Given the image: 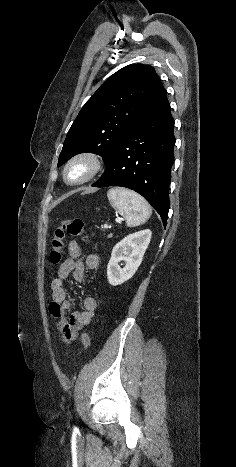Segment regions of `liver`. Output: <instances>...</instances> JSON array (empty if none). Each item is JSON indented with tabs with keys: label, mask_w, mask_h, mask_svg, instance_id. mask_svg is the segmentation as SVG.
Here are the masks:
<instances>
[{
	"label": "liver",
	"mask_w": 236,
	"mask_h": 467,
	"mask_svg": "<svg viewBox=\"0 0 236 467\" xmlns=\"http://www.w3.org/2000/svg\"><path fill=\"white\" fill-rule=\"evenodd\" d=\"M94 191V190H88L87 192Z\"/></svg>",
	"instance_id": "1"
}]
</instances>
